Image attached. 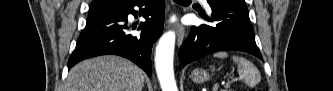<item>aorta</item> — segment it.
Listing matches in <instances>:
<instances>
[{"mask_svg": "<svg viewBox=\"0 0 333 91\" xmlns=\"http://www.w3.org/2000/svg\"><path fill=\"white\" fill-rule=\"evenodd\" d=\"M175 33L167 32L159 40L156 49V72L162 91H177L173 70Z\"/></svg>", "mask_w": 333, "mask_h": 91, "instance_id": "obj_1", "label": "aorta"}]
</instances>
